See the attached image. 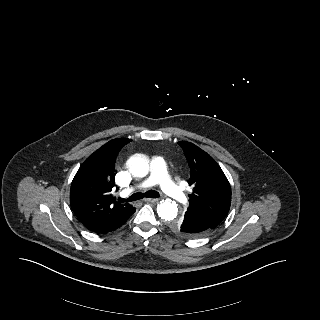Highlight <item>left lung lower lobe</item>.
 <instances>
[{"instance_id": "0a47b994", "label": "left lung lower lobe", "mask_w": 320, "mask_h": 320, "mask_svg": "<svg viewBox=\"0 0 320 320\" xmlns=\"http://www.w3.org/2000/svg\"><path fill=\"white\" fill-rule=\"evenodd\" d=\"M172 225L173 223L171 222L170 228L174 232L188 238H198L199 236H202L214 229L200 217L191 213H185V215L180 219V225L177 230H175Z\"/></svg>"}]
</instances>
